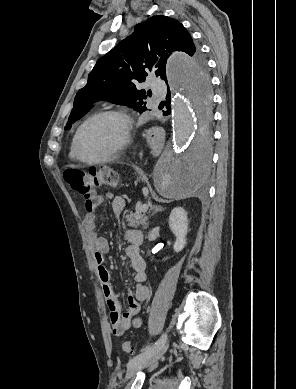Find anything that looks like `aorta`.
Here are the masks:
<instances>
[{
    "label": "aorta",
    "instance_id": "obj_1",
    "mask_svg": "<svg viewBox=\"0 0 296 389\" xmlns=\"http://www.w3.org/2000/svg\"><path fill=\"white\" fill-rule=\"evenodd\" d=\"M166 78L173 99V139L157 166L155 187L165 197L181 198L202 189L212 163L210 74L205 67H191L190 57L177 52L167 62Z\"/></svg>",
    "mask_w": 296,
    "mask_h": 389
}]
</instances>
